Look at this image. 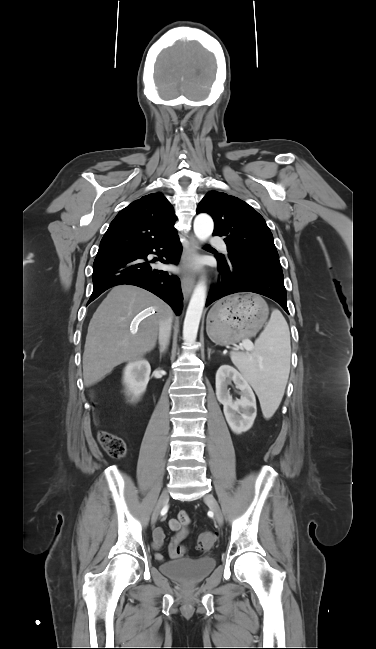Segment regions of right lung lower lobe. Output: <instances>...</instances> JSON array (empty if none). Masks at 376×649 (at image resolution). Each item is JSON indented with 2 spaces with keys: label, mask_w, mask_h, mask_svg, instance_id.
Instances as JSON below:
<instances>
[{
  "label": "right lung lower lobe",
  "mask_w": 376,
  "mask_h": 649,
  "mask_svg": "<svg viewBox=\"0 0 376 649\" xmlns=\"http://www.w3.org/2000/svg\"><path fill=\"white\" fill-rule=\"evenodd\" d=\"M181 251L178 235L174 233L132 251L97 256L93 264L94 288L88 303L110 287L130 284L154 293L180 315L183 295L179 278L151 268L152 261H147V255L157 254L162 263L178 264Z\"/></svg>",
  "instance_id": "1"
}]
</instances>
